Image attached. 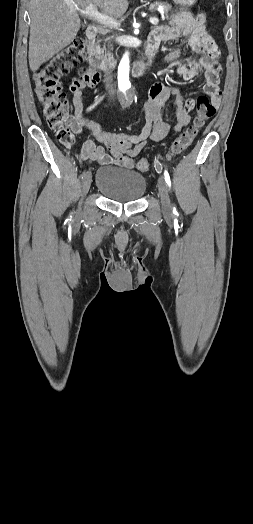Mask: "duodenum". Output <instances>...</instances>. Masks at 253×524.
<instances>
[{
    "mask_svg": "<svg viewBox=\"0 0 253 524\" xmlns=\"http://www.w3.org/2000/svg\"><path fill=\"white\" fill-rule=\"evenodd\" d=\"M97 33L98 28L96 26L87 27L85 32L89 44L87 50L88 62L95 69H100L102 72H111V62L102 55L99 48L96 46ZM146 69L147 64L143 62H136L132 64V71L137 76L143 75Z\"/></svg>",
    "mask_w": 253,
    "mask_h": 524,
    "instance_id": "410a0bca",
    "label": "duodenum"
}]
</instances>
